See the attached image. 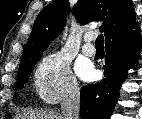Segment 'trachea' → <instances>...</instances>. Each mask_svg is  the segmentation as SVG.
Here are the masks:
<instances>
[{"label":"trachea","mask_w":142,"mask_h":119,"mask_svg":"<svg viewBox=\"0 0 142 119\" xmlns=\"http://www.w3.org/2000/svg\"><path fill=\"white\" fill-rule=\"evenodd\" d=\"M96 47H100L103 48V44H104V37L102 34L98 35L96 41H95Z\"/></svg>","instance_id":"1"}]
</instances>
